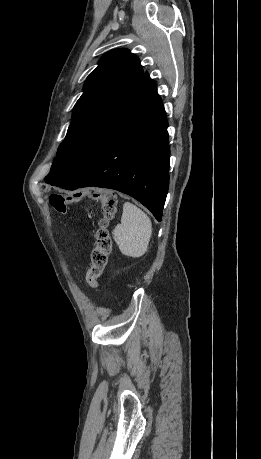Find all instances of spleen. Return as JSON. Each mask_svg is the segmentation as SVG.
<instances>
[{
  "mask_svg": "<svg viewBox=\"0 0 261 459\" xmlns=\"http://www.w3.org/2000/svg\"><path fill=\"white\" fill-rule=\"evenodd\" d=\"M152 235V222L145 212L130 202L123 204L121 224L113 230L120 252L128 257L143 256Z\"/></svg>",
  "mask_w": 261,
  "mask_h": 459,
  "instance_id": "obj_1",
  "label": "spleen"
}]
</instances>
